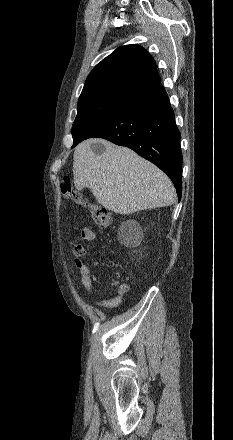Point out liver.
<instances>
[{"mask_svg": "<svg viewBox=\"0 0 233 440\" xmlns=\"http://www.w3.org/2000/svg\"><path fill=\"white\" fill-rule=\"evenodd\" d=\"M105 151L97 155L93 144ZM74 184L88 187L97 202L118 214L171 206L176 199L169 177L127 147L99 138L81 142L73 156Z\"/></svg>", "mask_w": 233, "mask_h": 440, "instance_id": "1", "label": "liver"}]
</instances>
